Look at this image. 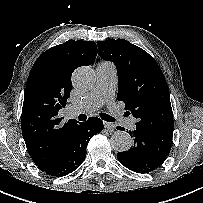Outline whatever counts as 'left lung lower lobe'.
<instances>
[{"mask_svg": "<svg viewBox=\"0 0 203 203\" xmlns=\"http://www.w3.org/2000/svg\"><path fill=\"white\" fill-rule=\"evenodd\" d=\"M129 134L134 139V144L129 150L117 153L119 162L126 168L141 174L159 168L170 152L172 135L138 127L134 131H129Z\"/></svg>", "mask_w": 203, "mask_h": 203, "instance_id": "left-lung-lower-lobe-1", "label": "left lung lower lobe"}]
</instances>
